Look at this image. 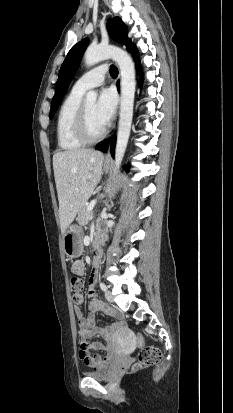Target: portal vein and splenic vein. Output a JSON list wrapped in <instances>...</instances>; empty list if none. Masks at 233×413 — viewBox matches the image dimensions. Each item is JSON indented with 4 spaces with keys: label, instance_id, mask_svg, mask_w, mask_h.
Masks as SVG:
<instances>
[{
    "label": "portal vein and splenic vein",
    "instance_id": "18ae733b",
    "mask_svg": "<svg viewBox=\"0 0 233 413\" xmlns=\"http://www.w3.org/2000/svg\"><path fill=\"white\" fill-rule=\"evenodd\" d=\"M95 204H96V200H93V201L89 204V206H88V211H92V209L94 208Z\"/></svg>",
    "mask_w": 233,
    "mask_h": 413
}]
</instances>
